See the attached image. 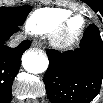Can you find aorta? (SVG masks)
Wrapping results in <instances>:
<instances>
[{"instance_id": "aorta-1", "label": "aorta", "mask_w": 103, "mask_h": 103, "mask_svg": "<svg viewBox=\"0 0 103 103\" xmlns=\"http://www.w3.org/2000/svg\"><path fill=\"white\" fill-rule=\"evenodd\" d=\"M22 65L27 72L39 74L47 69L48 58L42 53L28 51L22 56Z\"/></svg>"}]
</instances>
